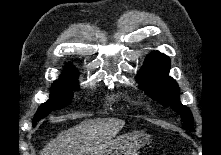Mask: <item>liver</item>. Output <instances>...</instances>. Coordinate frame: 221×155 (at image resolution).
I'll return each instance as SVG.
<instances>
[{
	"label": "liver",
	"mask_w": 221,
	"mask_h": 155,
	"mask_svg": "<svg viewBox=\"0 0 221 155\" xmlns=\"http://www.w3.org/2000/svg\"><path fill=\"white\" fill-rule=\"evenodd\" d=\"M124 125L118 118L86 119L59 133L41 155H104Z\"/></svg>",
	"instance_id": "1"
}]
</instances>
